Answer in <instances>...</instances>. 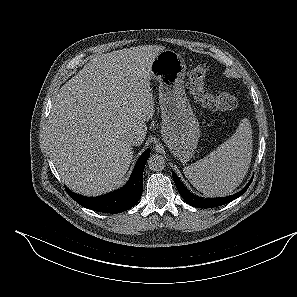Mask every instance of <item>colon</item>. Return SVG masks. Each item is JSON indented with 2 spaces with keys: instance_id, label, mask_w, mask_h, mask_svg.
I'll return each mask as SVG.
<instances>
[{
  "instance_id": "colon-1",
  "label": "colon",
  "mask_w": 297,
  "mask_h": 297,
  "mask_svg": "<svg viewBox=\"0 0 297 297\" xmlns=\"http://www.w3.org/2000/svg\"><path fill=\"white\" fill-rule=\"evenodd\" d=\"M208 72L206 63H198L189 73V89L194 98L205 108L226 112L237 107V99L229 93H210L205 87V78Z\"/></svg>"
}]
</instances>
